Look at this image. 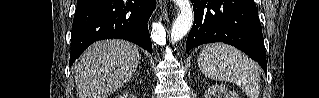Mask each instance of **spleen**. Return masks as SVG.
I'll return each instance as SVG.
<instances>
[{
    "label": "spleen",
    "mask_w": 319,
    "mask_h": 98,
    "mask_svg": "<svg viewBox=\"0 0 319 98\" xmlns=\"http://www.w3.org/2000/svg\"><path fill=\"white\" fill-rule=\"evenodd\" d=\"M197 62L206 77L235 83L249 98H258V66L238 49L222 43L210 44L201 51Z\"/></svg>",
    "instance_id": "obj_1"
}]
</instances>
